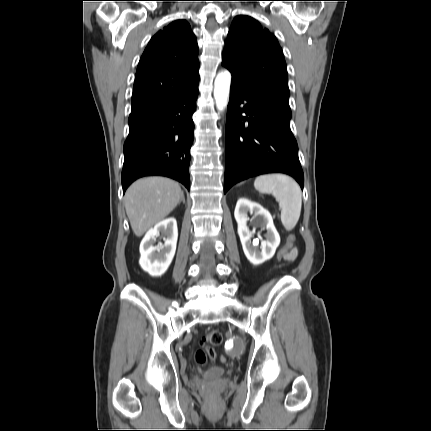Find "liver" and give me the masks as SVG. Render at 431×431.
Here are the masks:
<instances>
[{"label": "liver", "mask_w": 431, "mask_h": 431, "mask_svg": "<svg viewBox=\"0 0 431 431\" xmlns=\"http://www.w3.org/2000/svg\"><path fill=\"white\" fill-rule=\"evenodd\" d=\"M179 184L165 177H146L134 182L125 193V209L137 237L168 216L181 200Z\"/></svg>", "instance_id": "obj_1"}]
</instances>
